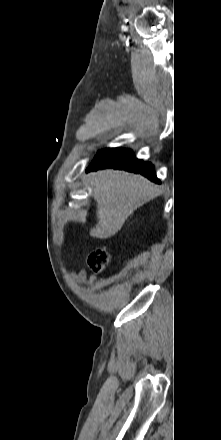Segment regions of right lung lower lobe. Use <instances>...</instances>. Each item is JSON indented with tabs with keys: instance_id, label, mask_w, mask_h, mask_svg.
Masks as SVG:
<instances>
[{
	"instance_id": "right-lung-lower-lobe-1",
	"label": "right lung lower lobe",
	"mask_w": 221,
	"mask_h": 440,
	"mask_svg": "<svg viewBox=\"0 0 221 440\" xmlns=\"http://www.w3.org/2000/svg\"><path fill=\"white\" fill-rule=\"evenodd\" d=\"M113 168L139 173L151 181L160 183L157 179L154 166L143 160L137 159L132 150L124 148H106L100 150L94 157L86 171Z\"/></svg>"
}]
</instances>
